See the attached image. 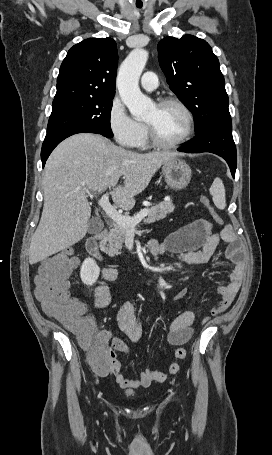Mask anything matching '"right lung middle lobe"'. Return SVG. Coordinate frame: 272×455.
Segmentation results:
<instances>
[{"instance_id": "1", "label": "right lung middle lobe", "mask_w": 272, "mask_h": 455, "mask_svg": "<svg viewBox=\"0 0 272 455\" xmlns=\"http://www.w3.org/2000/svg\"><path fill=\"white\" fill-rule=\"evenodd\" d=\"M113 97L69 98L53 101L47 134L87 128L111 138L110 114Z\"/></svg>"}]
</instances>
